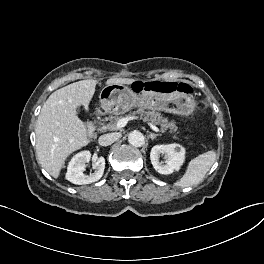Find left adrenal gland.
<instances>
[{
	"label": "left adrenal gland",
	"instance_id": "left-adrenal-gland-1",
	"mask_svg": "<svg viewBox=\"0 0 264 264\" xmlns=\"http://www.w3.org/2000/svg\"><path fill=\"white\" fill-rule=\"evenodd\" d=\"M158 136H161V134H155V133H150L149 134V137L152 139V140H154L156 137H158Z\"/></svg>",
	"mask_w": 264,
	"mask_h": 264
}]
</instances>
